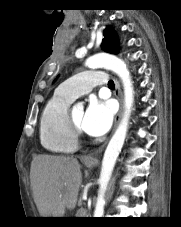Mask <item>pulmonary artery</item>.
I'll return each instance as SVG.
<instances>
[{
  "label": "pulmonary artery",
  "instance_id": "obj_1",
  "mask_svg": "<svg viewBox=\"0 0 181 227\" xmlns=\"http://www.w3.org/2000/svg\"><path fill=\"white\" fill-rule=\"evenodd\" d=\"M105 84H107V74L104 71H87L61 83L56 92L73 101L88 94L95 86Z\"/></svg>",
  "mask_w": 181,
  "mask_h": 227
}]
</instances>
